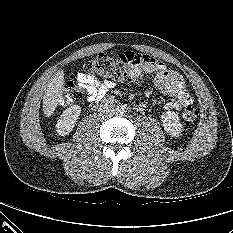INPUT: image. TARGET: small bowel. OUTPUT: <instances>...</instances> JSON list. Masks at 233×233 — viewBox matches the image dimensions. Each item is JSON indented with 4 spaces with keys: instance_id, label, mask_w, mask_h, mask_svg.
I'll list each match as a JSON object with an SVG mask.
<instances>
[{
    "instance_id": "c3829d8e",
    "label": "small bowel",
    "mask_w": 233,
    "mask_h": 233,
    "mask_svg": "<svg viewBox=\"0 0 233 233\" xmlns=\"http://www.w3.org/2000/svg\"><path fill=\"white\" fill-rule=\"evenodd\" d=\"M120 56L135 60L138 73L156 74L154 79L155 87L164 95L173 98L172 101L165 104V109L181 110L183 107L192 104L193 99L186 89L182 76L178 72L168 69L163 61L149 55L132 52H126ZM77 82L86 91L89 102H100L115 85L114 82L100 80L91 73H78ZM143 108V104L138 106L139 110Z\"/></svg>"
}]
</instances>
